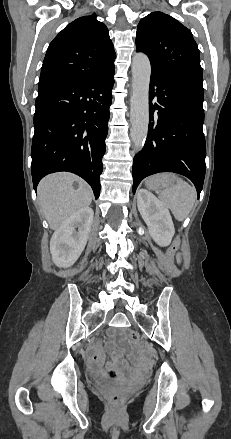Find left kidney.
<instances>
[{
  "label": "left kidney",
  "instance_id": "obj_1",
  "mask_svg": "<svg viewBox=\"0 0 231 439\" xmlns=\"http://www.w3.org/2000/svg\"><path fill=\"white\" fill-rule=\"evenodd\" d=\"M137 205L153 240L159 246H168L171 243L175 229L166 206L146 189L138 191Z\"/></svg>",
  "mask_w": 231,
  "mask_h": 439
}]
</instances>
